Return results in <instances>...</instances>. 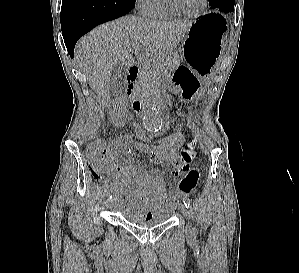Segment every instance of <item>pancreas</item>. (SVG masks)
<instances>
[{
	"label": "pancreas",
	"mask_w": 299,
	"mask_h": 273,
	"mask_svg": "<svg viewBox=\"0 0 299 273\" xmlns=\"http://www.w3.org/2000/svg\"><path fill=\"white\" fill-rule=\"evenodd\" d=\"M179 62V56L172 54L153 63L144 64L143 77L136 89V93L146 92L149 88L156 87L159 82L168 80L172 72L179 66Z\"/></svg>",
	"instance_id": "cf45deb5"
}]
</instances>
